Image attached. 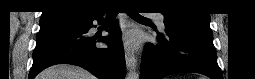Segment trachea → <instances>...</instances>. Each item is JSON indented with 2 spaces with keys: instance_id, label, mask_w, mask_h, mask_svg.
<instances>
[{
  "instance_id": "obj_1",
  "label": "trachea",
  "mask_w": 255,
  "mask_h": 79,
  "mask_svg": "<svg viewBox=\"0 0 255 79\" xmlns=\"http://www.w3.org/2000/svg\"><path fill=\"white\" fill-rule=\"evenodd\" d=\"M128 14V16L130 17V18H132L133 20H135V21H149V19H147V18H145V17H143V16H141V15H139V14H129V13H127ZM116 13L115 12H111V13H109L108 14V18H115L116 17Z\"/></svg>"
}]
</instances>
